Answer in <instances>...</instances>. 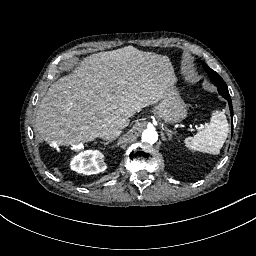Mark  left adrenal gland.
I'll use <instances>...</instances> for the list:
<instances>
[{
    "label": "left adrenal gland",
    "mask_w": 256,
    "mask_h": 256,
    "mask_svg": "<svg viewBox=\"0 0 256 256\" xmlns=\"http://www.w3.org/2000/svg\"><path fill=\"white\" fill-rule=\"evenodd\" d=\"M164 131L167 133V136L169 137V140H171L172 137H173L174 135H176V132H175V131H172L171 129H169V128H167V127L164 128Z\"/></svg>",
    "instance_id": "a2214340"
}]
</instances>
